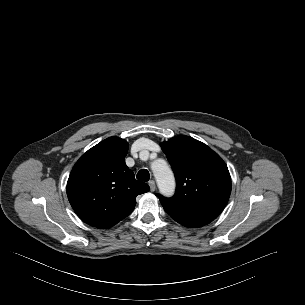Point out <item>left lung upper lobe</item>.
Masks as SVG:
<instances>
[{
	"label": "left lung upper lobe",
	"mask_w": 305,
	"mask_h": 305,
	"mask_svg": "<svg viewBox=\"0 0 305 305\" xmlns=\"http://www.w3.org/2000/svg\"><path fill=\"white\" fill-rule=\"evenodd\" d=\"M176 178L171 198L159 195L171 217L215 219L231 193V177L224 161L204 143L178 136L161 144Z\"/></svg>",
	"instance_id": "1"
}]
</instances>
